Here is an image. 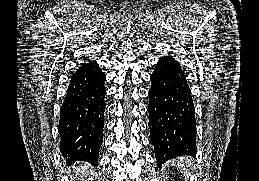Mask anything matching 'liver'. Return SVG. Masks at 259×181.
I'll use <instances>...</instances> for the list:
<instances>
[{
	"mask_svg": "<svg viewBox=\"0 0 259 181\" xmlns=\"http://www.w3.org/2000/svg\"><path fill=\"white\" fill-rule=\"evenodd\" d=\"M89 164H85L84 166H79V167H74L73 172L75 173V175H79L80 173H82L83 175L87 172ZM83 179H80L76 177L75 181H81Z\"/></svg>",
	"mask_w": 259,
	"mask_h": 181,
	"instance_id": "1",
	"label": "liver"
}]
</instances>
